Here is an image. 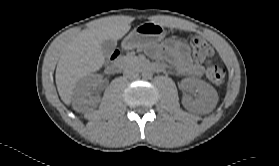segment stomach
I'll use <instances>...</instances> for the list:
<instances>
[{"label": "stomach", "mask_w": 279, "mask_h": 166, "mask_svg": "<svg viewBox=\"0 0 279 166\" xmlns=\"http://www.w3.org/2000/svg\"><path fill=\"white\" fill-rule=\"evenodd\" d=\"M165 36L166 30L163 26L153 22L142 23L124 38L122 47L125 50H132L156 46Z\"/></svg>", "instance_id": "obj_1"}]
</instances>
